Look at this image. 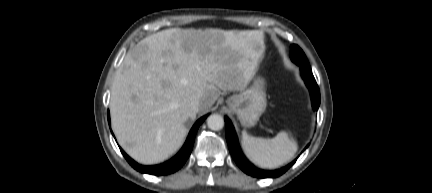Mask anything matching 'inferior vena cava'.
Here are the masks:
<instances>
[{
    "mask_svg": "<svg viewBox=\"0 0 432 193\" xmlns=\"http://www.w3.org/2000/svg\"><path fill=\"white\" fill-rule=\"evenodd\" d=\"M190 106L193 111L198 112L200 108V100L199 99L192 100Z\"/></svg>",
    "mask_w": 432,
    "mask_h": 193,
    "instance_id": "1",
    "label": "inferior vena cava"
}]
</instances>
